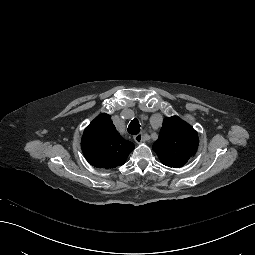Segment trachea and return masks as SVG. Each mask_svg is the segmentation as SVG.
<instances>
[{
    "mask_svg": "<svg viewBox=\"0 0 255 255\" xmlns=\"http://www.w3.org/2000/svg\"><path fill=\"white\" fill-rule=\"evenodd\" d=\"M127 130H128V132H129L131 135H136V134H138V133L140 132V130H141V126H140V124H139V121H138L136 118H134V119L130 122V124H129Z\"/></svg>",
    "mask_w": 255,
    "mask_h": 255,
    "instance_id": "1",
    "label": "trachea"
}]
</instances>
